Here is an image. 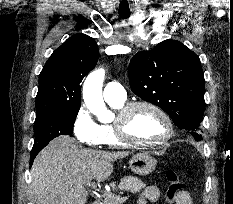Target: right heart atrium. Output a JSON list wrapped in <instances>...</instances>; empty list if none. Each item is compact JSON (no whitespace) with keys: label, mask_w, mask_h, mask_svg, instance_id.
<instances>
[{"label":"right heart atrium","mask_w":233,"mask_h":204,"mask_svg":"<svg viewBox=\"0 0 233 204\" xmlns=\"http://www.w3.org/2000/svg\"><path fill=\"white\" fill-rule=\"evenodd\" d=\"M72 131L75 138L85 146L101 145L100 125L93 119L85 106H80L75 113Z\"/></svg>","instance_id":"right-heart-atrium-1"}]
</instances>
